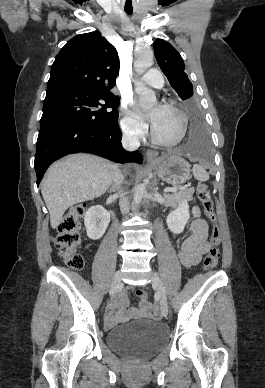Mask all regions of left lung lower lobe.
<instances>
[{
	"label": "left lung lower lobe",
	"instance_id": "left-lung-lower-lobe-1",
	"mask_svg": "<svg viewBox=\"0 0 265 388\" xmlns=\"http://www.w3.org/2000/svg\"><path fill=\"white\" fill-rule=\"evenodd\" d=\"M189 133L183 151L193 158L209 160L210 141L201 112L198 108L189 109Z\"/></svg>",
	"mask_w": 265,
	"mask_h": 388
}]
</instances>
